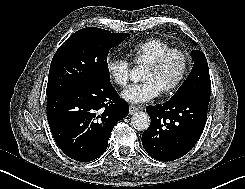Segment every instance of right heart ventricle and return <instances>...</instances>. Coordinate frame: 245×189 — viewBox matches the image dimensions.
Masks as SVG:
<instances>
[{
  "label": "right heart ventricle",
  "mask_w": 245,
  "mask_h": 189,
  "mask_svg": "<svg viewBox=\"0 0 245 189\" xmlns=\"http://www.w3.org/2000/svg\"><path fill=\"white\" fill-rule=\"evenodd\" d=\"M171 48L163 39L152 37L129 46L126 55L135 65H146L163 51Z\"/></svg>",
  "instance_id": "right-heart-ventricle-1"
}]
</instances>
